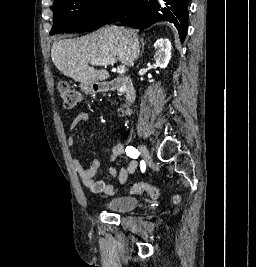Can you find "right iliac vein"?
<instances>
[{
    "label": "right iliac vein",
    "mask_w": 256,
    "mask_h": 267,
    "mask_svg": "<svg viewBox=\"0 0 256 267\" xmlns=\"http://www.w3.org/2000/svg\"><path fill=\"white\" fill-rule=\"evenodd\" d=\"M138 148H139V151L142 154V156L146 160H149V158H150V152H149L148 148L145 145H143V144H140Z\"/></svg>",
    "instance_id": "obj_1"
}]
</instances>
